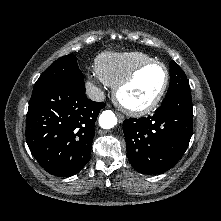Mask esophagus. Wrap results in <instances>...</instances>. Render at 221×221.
<instances>
[{"instance_id":"1","label":"esophagus","mask_w":221,"mask_h":221,"mask_svg":"<svg viewBox=\"0 0 221 221\" xmlns=\"http://www.w3.org/2000/svg\"><path fill=\"white\" fill-rule=\"evenodd\" d=\"M118 118H119V121H120V122H123V121H124V116H123V115L118 114Z\"/></svg>"}]
</instances>
